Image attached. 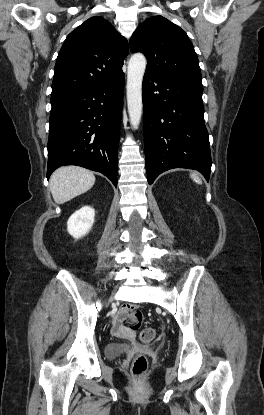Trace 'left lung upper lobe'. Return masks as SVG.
<instances>
[{"label": "left lung upper lobe", "instance_id": "left-lung-upper-lobe-1", "mask_svg": "<svg viewBox=\"0 0 264 415\" xmlns=\"http://www.w3.org/2000/svg\"><path fill=\"white\" fill-rule=\"evenodd\" d=\"M132 52L147 58L146 72L161 78L202 85L194 47L185 31L162 16L142 22L130 39Z\"/></svg>", "mask_w": 264, "mask_h": 415}]
</instances>
